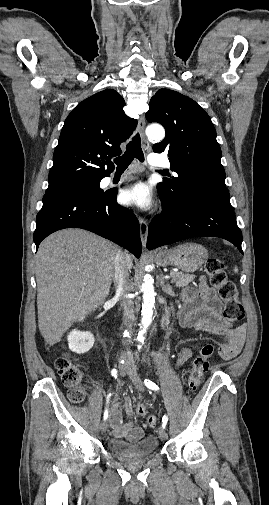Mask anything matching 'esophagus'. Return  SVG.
I'll return each mask as SVG.
<instances>
[{
	"instance_id": "34e87169",
	"label": "esophagus",
	"mask_w": 269,
	"mask_h": 505,
	"mask_svg": "<svg viewBox=\"0 0 269 505\" xmlns=\"http://www.w3.org/2000/svg\"><path fill=\"white\" fill-rule=\"evenodd\" d=\"M144 129H145V118H144V116H140V118L138 120V130H139V133H140V135L146 145L147 141L145 138ZM139 226H140L141 242H142L143 247L145 248L146 243H147V237H148V223L144 218L139 217Z\"/></svg>"
}]
</instances>
